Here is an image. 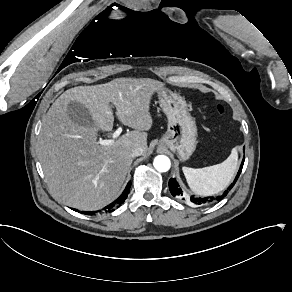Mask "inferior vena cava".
<instances>
[{
    "label": "inferior vena cava",
    "mask_w": 292,
    "mask_h": 292,
    "mask_svg": "<svg viewBox=\"0 0 292 292\" xmlns=\"http://www.w3.org/2000/svg\"><path fill=\"white\" fill-rule=\"evenodd\" d=\"M143 153V149L140 147H137L135 149H133L132 153H131V157H138L140 155H142Z\"/></svg>",
    "instance_id": "obj_1"
}]
</instances>
